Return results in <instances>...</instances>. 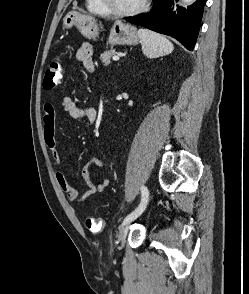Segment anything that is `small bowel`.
Segmentation results:
<instances>
[{
    "instance_id": "obj_1",
    "label": "small bowel",
    "mask_w": 249,
    "mask_h": 294,
    "mask_svg": "<svg viewBox=\"0 0 249 294\" xmlns=\"http://www.w3.org/2000/svg\"><path fill=\"white\" fill-rule=\"evenodd\" d=\"M75 59L81 62L87 71H95L93 48L89 43H82L78 47L75 53ZM61 106L70 118L82 119L89 124H93L96 121L97 111L95 108L80 107L76 105L70 97H64ZM43 133L45 143L53 161L55 164L60 165L62 162V154L56 139V111L52 103H45L43 106ZM92 167L104 169L105 163L102 159L93 157L83 166L81 175L87 185V189L82 194L68 182L62 170H57L55 172L57 184L69 201L81 203L89 197L104 192L109 187L110 180L107 178L100 180L98 183L92 180L90 172Z\"/></svg>"
}]
</instances>
